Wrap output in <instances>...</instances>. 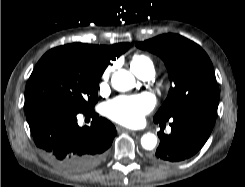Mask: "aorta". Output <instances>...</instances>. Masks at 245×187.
<instances>
[{
    "label": "aorta",
    "instance_id": "1",
    "mask_svg": "<svg viewBox=\"0 0 245 187\" xmlns=\"http://www.w3.org/2000/svg\"><path fill=\"white\" fill-rule=\"evenodd\" d=\"M111 83L115 90L125 92L134 87L135 79L129 71L120 69L112 75ZM156 144L157 137L152 133L144 134L141 138V145L146 150L154 149Z\"/></svg>",
    "mask_w": 245,
    "mask_h": 187
}]
</instances>
